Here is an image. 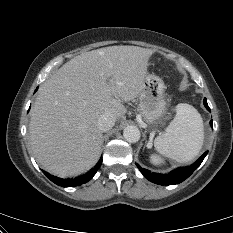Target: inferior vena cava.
<instances>
[{
    "label": "inferior vena cava",
    "mask_w": 233,
    "mask_h": 233,
    "mask_svg": "<svg viewBox=\"0 0 233 233\" xmlns=\"http://www.w3.org/2000/svg\"><path fill=\"white\" fill-rule=\"evenodd\" d=\"M115 122L116 117L110 112H105L99 117L97 126L101 132H106L115 125Z\"/></svg>",
    "instance_id": "obj_1"
}]
</instances>
